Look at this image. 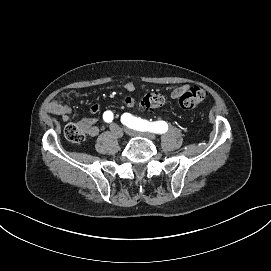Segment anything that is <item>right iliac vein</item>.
<instances>
[{"mask_svg":"<svg viewBox=\"0 0 271 271\" xmlns=\"http://www.w3.org/2000/svg\"><path fill=\"white\" fill-rule=\"evenodd\" d=\"M112 134L116 136L117 138H121L124 134L122 128L116 124L112 125L110 128Z\"/></svg>","mask_w":271,"mask_h":271,"instance_id":"obj_1","label":"right iliac vein"}]
</instances>
